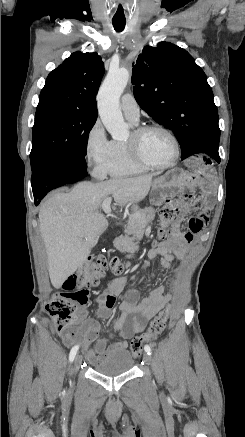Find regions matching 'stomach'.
Returning <instances> with one entry per match:
<instances>
[{"label":"stomach","instance_id":"stomach-1","mask_svg":"<svg viewBox=\"0 0 245 437\" xmlns=\"http://www.w3.org/2000/svg\"><path fill=\"white\" fill-rule=\"evenodd\" d=\"M190 177L181 171L173 170L154 178L149 195L151 205L160 206L173 193L188 184Z\"/></svg>","mask_w":245,"mask_h":437}]
</instances>
